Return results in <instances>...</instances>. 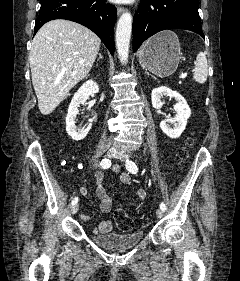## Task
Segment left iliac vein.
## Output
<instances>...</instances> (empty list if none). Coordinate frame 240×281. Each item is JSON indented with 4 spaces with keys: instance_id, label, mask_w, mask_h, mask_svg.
Instances as JSON below:
<instances>
[{
    "instance_id": "1",
    "label": "left iliac vein",
    "mask_w": 240,
    "mask_h": 281,
    "mask_svg": "<svg viewBox=\"0 0 240 281\" xmlns=\"http://www.w3.org/2000/svg\"><path fill=\"white\" fill-rule=\"evenodd\" d=\"M115 158L119 159L120 161H126L129 156L125 151H118L117 154L114 156ZM156 216L160 219L163 217V211L161 209L156 210Z\"/></svg>"
}]
</instances>
